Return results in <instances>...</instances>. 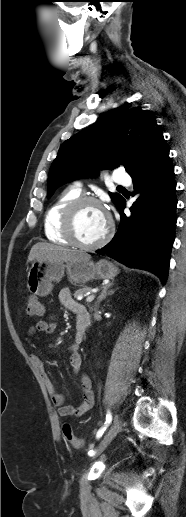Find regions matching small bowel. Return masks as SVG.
<instances>
[{
  "instance_id": "obj_1",
  "label": "small bowel",
  "mask_w": 186,
  "mask_h": 517,
  "mask_svg": "<svg viewBox=\"0 0 186 517\" xmlns=\"http://www.w3.org/2000/svg\"><path fill=\"white\" fill-rule=\"evenodd\" d=\"M59 300L63 307H65L67 310L73 312L76 315H78L79 311L85 309V307L82 304L76 302L72 298L71 292L68 289H63L60 291ZM56 327L57 324L54 319L40 320L29 328L28 333L32 335L37 331H41L50 334L56 330ZM82 341L83 336H81L77 331L74 335L73 343L70 346V365L72 367L74 374L76 375L80 373L82 368V357L80 355V344L82 343ZM30 359L40 372L45 383L46 389L51 396L52 402L54 403V405L58 407V413L60 416L79 417L86 413L89 409H91V407L94 404V394L92 390L91 380L88 375L83 374L81 376V385L83 392L82 401L78 405H67L66 395L63 392L58 391L54 387L53 383L51 382L50 378L45 372L44 361L42 360V358L38 354L32 353L30 354Z\"/></svg>"
}]
</instances>
